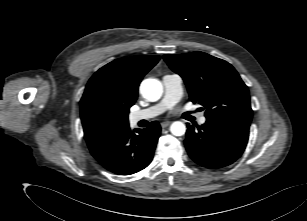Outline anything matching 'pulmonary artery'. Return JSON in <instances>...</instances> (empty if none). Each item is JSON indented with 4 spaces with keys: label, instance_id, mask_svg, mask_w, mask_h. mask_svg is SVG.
I'll use <instances>...</instances> for the list:
<instances>
[{
    "label": "pulmonary artery",
    "instance_id": "pulmonary-artery-1",
    "mask_svg": "<svg viewBox=\"0 0 307 221\" xmlns=\"http://www.w3.org/2000/svg\"><path fill=\"white\" fill-rule=\"evenodd\" d=\"M164 86V96L163 99L156 105L136 111L129 116L130 123L135 125L139 121L149 120L162 112H164L169 107L176 104L183 95V80L181 76L177 74H166L162 78ZM200 124L206 123V117L202 116L199 118Z\"/></svg>",
    "mask_w": 307,
    "mask_h": 221
}]
</instances>
